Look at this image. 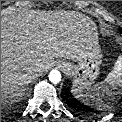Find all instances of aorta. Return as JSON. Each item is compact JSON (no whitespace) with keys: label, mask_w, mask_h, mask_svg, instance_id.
<instances>
[{"label":"aorta","mask_w":122,"mask_h":122,"mask_svg":"<svg viewBox=\"0 0 122 122\" xmlns=\"http://www.w3.org/2000/svg\"><path fill=\"white\" fill-rule=\"evenodd\" d=\"M49 80L53 84H57L61 81V74L58 70H52L49 73Z\"/></svg>","instance_id":"aorta-1"}]
</instances>
